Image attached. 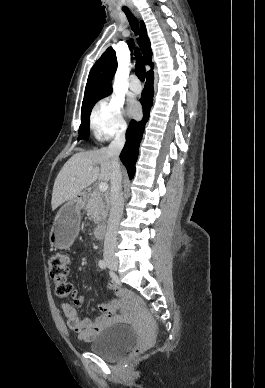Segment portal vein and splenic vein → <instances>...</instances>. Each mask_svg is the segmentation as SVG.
I'll list each match as a JSON object with an SVG mask.
<instances>
[{
    "mask_svg": "<svg viewBox=\"0 0 265 388\" xmlns=\"http://www.w3.org/2000/svg\"><path fill=\"white\" fill-rule=\"evenodd\" d=\"M88 170H93V166H89ZM72 180H76V178H72ZM99 190L100 192H106L108 190V184L106 182H100Z\"/></svg>",
    "mask_w": 265,
    "mask_h": 388,
    "instance_id": "portal-vein-and-splenic-vein-1",
    "label": "portal vein and splenic vein"
}]
</instances>
